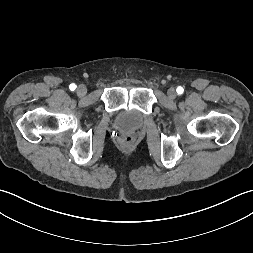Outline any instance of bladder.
Instances as JSON below:
<instances>
[{"label": "bladder", "instance_id": "31cf9c89", "mask_svg": "<svg viewBox=\"0 0 253 253\" xmlns=\"http://www.w3.org/2000/svg\"><path fill=\"white\" fill-rule=\"evenodd\" d=\"M117 124L126 130L137 129L142 124V115L136 110H122L118 114Z\"/></svg>", "mask_w": 253, "mask_h": 253}]
</instances>
